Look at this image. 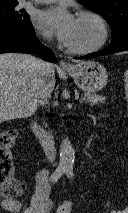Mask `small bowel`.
<instances>
[{"mask_svg": "<svg viewBox=\"0 0 128 213\" xmlns=\"http://www.w3.org/2000/svg\"><path fill=\"white\" fill-rule=\"evenodd\" d=\"M49 172L46 169L36 174L35 193L32 196L30 206L24 213H50L54 203L50 198ZM1 207L8 213H19L21 204L17 200L2 201Z\"/></svg>", "mask_w": 128, "mask_h": 213, "instance_id": "c3829d8e", "label": "small bowel"}]
</instances>
